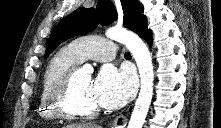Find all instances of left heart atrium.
<instances>
[{
  "mask_svg": "<svg viewBox=\"0 0 221 128\" xmlns=\"http://www.w3.org/2000/svg\"><path fill=\"white\" fill-rule=\"evenodd\" d=\"M136 88L134 76L118 72L111 66H104L91 81L90 90L98 106L116 109L129 101Z\"/></svg>",
  "mask_w": 221,
  "mask_h": 128,
  "instance_id": "39dd6f15",
  "label": "left heart atrium"
}]
</instances>
